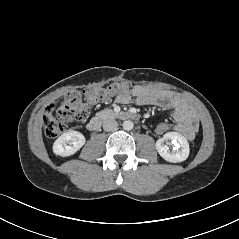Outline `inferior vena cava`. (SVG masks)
<instances>
[{"label": "inferior vena cava", "mask_w": 239, "mask_h": 239, "mask_svg": "<svg viewBox=\"0 0 239 239\" xmlns=\"http://www.w3.org/2000/svg\"><path fill=\"white\" fill-rule=\"evenodd\" d=\"M117 122L114 119H107L103 122L104 131L110 132L117 129Z\"/></svg>", "instance_id": "602c4592"}]
</instances>
